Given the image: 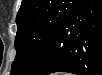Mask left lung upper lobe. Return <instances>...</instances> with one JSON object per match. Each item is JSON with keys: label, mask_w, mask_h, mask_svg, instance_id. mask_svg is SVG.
Segmentation results:
<instances>
[{"label": "left lung upper lobe", "mask_w": 102, "mask_h": 75, "mask_svg": "<svg viewBox=\"0 0 102 75\" xmlns=\"http://www.w3.org/2000/svg\"><path fill=\"white\" fill-rule=\"evenodd\" d=\"M83 0H22L16 17L13 74H28L56 28Z\"/></svg>", "instance_id": "left-lung-upper-lobe-1"}]
</instances>
